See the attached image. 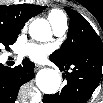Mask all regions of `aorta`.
Returning a JSON list of instances; mask_svg holds the SVG:
<instances>
[{"label": "aorta", "mask_w": 103, "mask_h": 103, "mask_svg": "<svg viewBox=\"0 0 103 103\" xmlns=\"http://www.w3.org/2000/svg\"><path fill=\"white\" fill-rule=\"evenodd\" d=\"M30 36L38 41H45L51 35V28L47 20L36 19L29 27ZM61 84V77L56 70L42 69L36 75V85L45 94H54Z\"/></svg>", "instance_id": "762f6f07"}]
</instances>
